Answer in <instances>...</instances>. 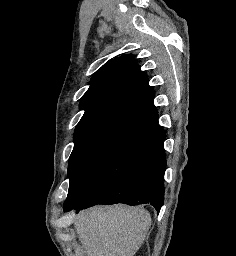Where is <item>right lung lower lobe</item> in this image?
I'll list each match as a JSON object with an SVG mask.
<instances>
[{
  "instance_id": "right-lung-lower-lobe-1",
  "label": "right lung lower lobe",
  "mask_w": 236,
  "mask_h": 256,
  "mask_svg": "<svg viewBox=\"0 0 236 256\" xmlns=\"http://www.w3.org/2000/svg\"><path fill=\"white\" fill-rule=\"evenodd\" d=\"M164 130L155 124L106 161L79 192L65 201L64 211L97 204L149 203L160 211L166 168Z\"/></svg>"
}]
</instances>
